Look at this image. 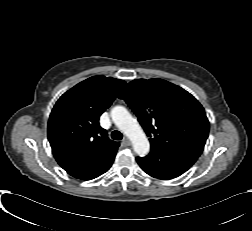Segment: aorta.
<instances>
[{"label": "aorta", "instance_id": "1", "mask_svg": "<svg viewBox=\"0 0 252 231\" xmlns=\"http://www.w3.org/2000/svg\"><path fill=\"white\" fill-rule=\"evenodd\" d=\"M115 125L130 139L135 153L145 156L150 151V143L139 123L123 106H115L111 110Z\"/></svg>", "mask_w": 252, "mask_h": 231}]
</instances>
